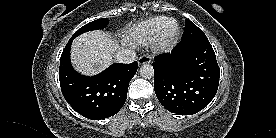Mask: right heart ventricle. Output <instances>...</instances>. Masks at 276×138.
Returning a JSON list of instances; mask_svg holds the SVG:
<instances>
[{"instance_id":"right-heart-ventricle-1","label":"right heart ventricle","mask_w":276,"mask_h":138,"mask_svg":"<svg viewBox=\"0 0 276 138\" xmlns=\"http://www.w3.org/2000/svg\"><path fill=\"white\" fill-rule=\"evenodd\" d=\"M168 18L160 15L133 25L127 31V40L134 45L150 43L156 38L161 26Z\"/></svg>"}]
</instances>
